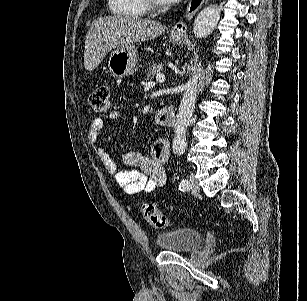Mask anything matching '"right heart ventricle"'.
Returning <instances> with one entry per match:
<instances>
[{
  "label": "right heart ventricle",
  "instance_id": "right-heart-ventricle-1",
  "mask_svg": "<svg viewBox=\"0 0 307 301\" xmlns=\"http://www.w3.org/2000/svg\"><path fill=\"white\" fill-rule=\"evenodd\" d=\"M146 0H109L108 12L112 17H141L139 8L145 7Z\"/></svg>",
  "mask_w": 307,
  "mask_h": 301
}]
</instances>
